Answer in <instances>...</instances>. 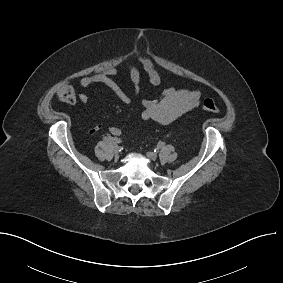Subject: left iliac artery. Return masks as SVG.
<instances>
[{
	"label": "left iliac artery",
	"mask_w": 283,
	"mask_h": 283,
	"mask_svg": "<svg viewBox=\"0 0 283 283\" xmlns=\"http://www.w3.org/2000/svg\"><path fill=\"white\" fill-rule=\"evenodd\" d=\"M164 145H165L164 142H159L158 145H157V147H156V149H155L154 151H155V152L158 151L159 149L163 148Z\"/></svg>",
	"instance_id": "1"
}]
</instances>
